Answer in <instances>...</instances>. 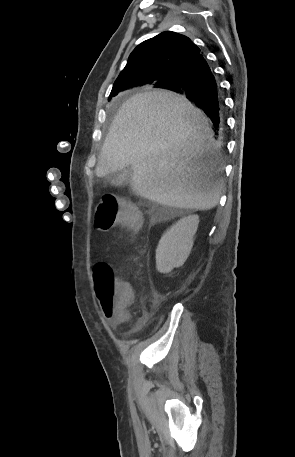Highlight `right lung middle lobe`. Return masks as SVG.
I'll list each match as a JSON object with an SVG mask.
<instances>
[{
	"label": "right lung middle lobe",
	"instance_id": "1",
	"mask_svg": "<svg viewBox=\"0 0 295 457\" xmlns=\"http://www.w3.org/2000/svg\"><path fill=\"white\" fill-rule=\"evenodd\" d=\"M140 85H142V84H135V85H131L130 87H135V86H140ZM117 94H118V91H112L110 94V97L116 96Z\"/></svg>",
	"mask_w": 295,
	"mask_h": 457
}]
</instances>
